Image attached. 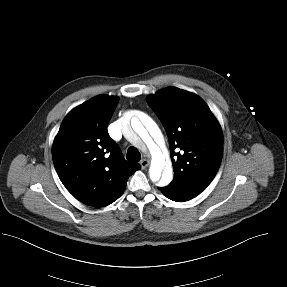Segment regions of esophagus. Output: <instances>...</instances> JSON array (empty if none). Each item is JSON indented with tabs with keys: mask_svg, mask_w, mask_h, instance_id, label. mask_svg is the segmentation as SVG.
Segmentation results:
<instances>
[{
	"mask_svg": "<svg viewBox=\"0 0 287 287\" xmlns=\"http://www.w3.org/2000/svg\"><path fill=\"white\" fill-rule=\"evenodd\" d=\"M149 163H150V161L146 158H144L140 161V165L143 169L146 168L149 165Z\"/></svg>",
	"mask_w": 287,
	"mask_h": 287,
	"instance_id": "1",
	"label": "esophagus"
}]
</instances>
